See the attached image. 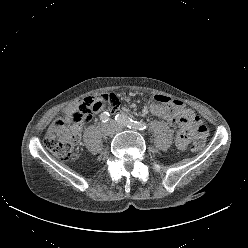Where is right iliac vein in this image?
<instances>
[{"label": "right iliac vein", "instance_id": "obj_1", "mask_svg": "<svg viewBox=\"0 0 248 248\" xmlns=\"http://www.w3.org/2000/svg\"><path fill=\"white\" fill-rule=\"evenodd\" d=\"M116 129L113 124H106L103 126V133L106 136H112L115 133Z\"/></svg>", "mask_w": 248, "mask_h": 248}]
</instances>
